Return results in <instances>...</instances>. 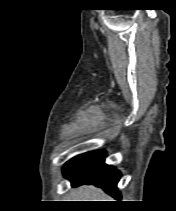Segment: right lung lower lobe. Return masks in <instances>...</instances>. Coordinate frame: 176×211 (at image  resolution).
I'll return each mask as SVG.
<instances>
[{
    "label": "right lung lower lobe",
    "instance_id": "right-lung-lower-lobe-1",
    "mask_svg": "<svg viewBox=\"0 0 176 211\" xmlns=\"http://www.w3.org/2000/svg\"><path fill=\"white\" fill-rule=\"evenodd\" d=\"M104 157H106V152L103 150L74 157L65 164L64 176L71 181L73 186L94 184L116 199H120L117 183L121 173L116 168L106 165Z\"/></svg>",
    "mask_w": 176,
    "mask_h": 211
}]
</instances>
